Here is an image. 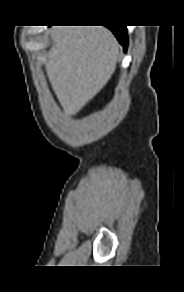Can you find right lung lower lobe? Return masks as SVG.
Returning a JSON list of instances; mask_svg holds the SVG:
<instances>
[{
    "mask_svg": "<svg viewBox=\"0 0 184 292\" xmlns=\"http://www.w3.org/2000/svg\"><path fill=\"white\" fill-rule=\"evenodd\" d=\"M116 36L118 41L122 44L124 47V50L127 49L128 44V37H127V29L126 26H114V27H108Z\"/></svg>",
    "mask_w": 184,
    "mask_h": 292,
    "instance_id": "1",
    "label": "right lung lower lobe"
}]
</instances>
